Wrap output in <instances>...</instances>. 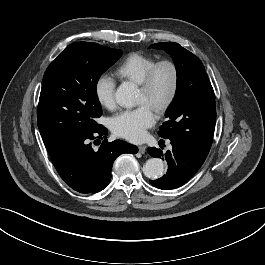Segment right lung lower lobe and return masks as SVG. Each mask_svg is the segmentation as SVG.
<instances>
[{"label": "right lung lower lobe", "instance_id": "98d812e1", "mask_svg": "<svg viewBox=\"0 0 265 265\" xmlns=\"http://www.w3.org/2000/svg\"><path fill=\"white\" fill-rule=\"evenodd\" d=\"M107 133L99 124L92 132L46 147L58 174L75 191L96 193L103 190L110 182L114 160L123 153L138 152L136 146L121 140H104L98 150L93 149L95 136L106 138Z\"/></svg>", "mask_w": 265, "mask_h": 265}]
</instances>
